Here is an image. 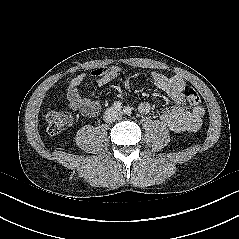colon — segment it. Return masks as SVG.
I'll list each match as a JSON object with an SVG mask.
<instances>
[{
    "instance_id": "1",
    "label": "colon",
    "mask_w": 239,
    "mask_h": 239,
    "mask_svg": "<svg viewBox=\"0 0 239 239\" xmlns=\"http://www.w3.org/2000/svg\"><path fill=\"white\" fill-rule=\"evenodd\" d=\"M183 94L190 105L196 106L200 102L198 92L190 85H185L183 88ZM73 120V116L70 112L64 110H52L47 113V129L51 135H57L61 133L66 127H68Z\"/></svg>"
}]
</instances>
